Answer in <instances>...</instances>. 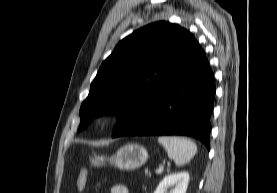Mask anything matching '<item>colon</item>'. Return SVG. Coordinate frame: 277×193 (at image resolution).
I'll return each instance as SVG.
<instances>
[{
  "label": "colon",
  "mask_w": 277,
  "mask_h": 193,
  "mask_svg": "<svg viewBox=\"0 0 277 193\" xmlns=\"http://www.w3.org/2000/svg\"><path fill=\"white\" fill-rule=\"evenodd\" d=\"M88 177H89V172L87 170L83 169L80 172L78 181H77V189L79 192L83 191L84 188L86 187Z\"/></svg>",
  "instance_id": "colon-1"
}]
</instances>
